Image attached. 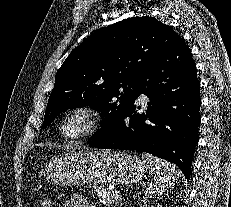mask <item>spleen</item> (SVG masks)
Returning a JSON list of instances; mask_svg holds the SVG:
<instances>
[{
	"instance_id": "3e777b00",
	"label": "spleen",
	"mask_w": 231,
	"mask_h": 207,
	"mask_svg": "<svg viewBox=\"0 0 231 207\" xmlns=\"http://www.w3.org/2000/svg\"><path fill=\"white\" fill-rule=\"evenodd\" d=\"M141 158L147 164L149 172L153 176L146 188V195L154 197L162 194L178 180L180 171L175 165L151 154H142Z\"/></svg>"
}]
</instances>
